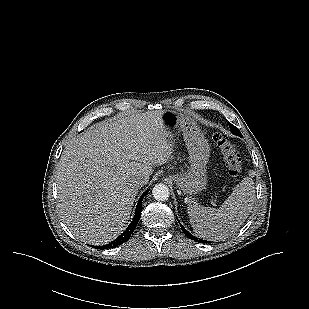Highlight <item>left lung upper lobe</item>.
I'll use <instances>...</instances> for the list:
<instances>
[{
    "instance_id": "obj_1",
    "label": "left lung upper lobe",
    "mask_w": 309,
    "mask_h": 309,
    "mask_svg": "<svg viewBox=\"0 0 309 309\" xmlns=\"http://www.w3.org/2000/svg\"><path fill=\"white\" fill-rule=\"evenodd\" d=\"M229 127H230L233 134L238 135V136H242L240 130L237 127H235L233 124L229 123Z\"/></svg>"
}]
</instances>
